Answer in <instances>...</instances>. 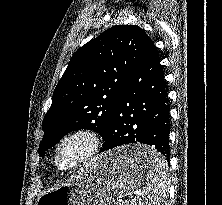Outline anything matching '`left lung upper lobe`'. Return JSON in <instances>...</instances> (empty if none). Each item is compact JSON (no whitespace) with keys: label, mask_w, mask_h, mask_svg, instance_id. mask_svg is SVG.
Returning <instances> with one entry per match:
<instances>
[{"label":"left lung upper lobe","mask_w":222,"mask_h":205,"mask_svg":"<svg viewBox=\"0 0 222 205\" xmlns=\"http://www.w3.org/2000/svg\"><path fill=\"white\" fill-rule=\"evenodd\" d=\"M149 39L136 25H118L76 51L42 122L41 156L71 131L107 134L127 77Z\"/></svg>","instance_id":"obj_1"}]
</instances>
